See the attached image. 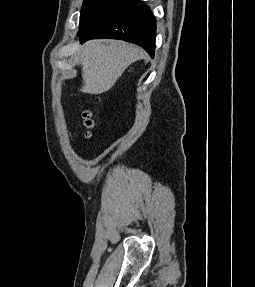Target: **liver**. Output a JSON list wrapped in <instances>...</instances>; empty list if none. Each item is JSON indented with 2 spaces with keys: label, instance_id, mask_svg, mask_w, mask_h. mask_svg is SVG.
Listing matches in <instances>:
<instances>
[{
  "label": "liver",
  "instance_id": "obj_1",
  "mask_svg": "<svg viewBox=\"0 0 255 287\" xmlns=\"http://www.w3.org/2000/svg\"><path fill=\"white\" fill-rule=\"evenodd\" d=\"M71 54H75L73 58L82 66L80 90L85 94L108 92L130 64L145 56L141 48L120 40H91Z\"/></svg>",
  "mask_w": 255,
  "mask_h": 287
}]
</instances>
